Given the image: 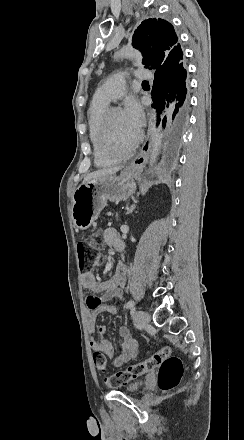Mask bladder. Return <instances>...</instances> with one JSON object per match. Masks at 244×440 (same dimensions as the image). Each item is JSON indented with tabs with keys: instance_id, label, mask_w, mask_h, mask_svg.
<instances>
[{
	"instance_id": "bladder-1",
	"label": "bladder",
	"mask_w": 244,
	"mask_h": 440,
	"mask_svg": "<svg viewBox=\"0 0 244 440\" xmlns=\"http://www.w3.org/2000/svg\"><path fill=\"white\" fill-rule=\"evenodd\" d=\"M144 385V380H134L129 385H126L124 387V391L128 393H135L137 390H139Z\"/></svg>"
}]
</instances>
